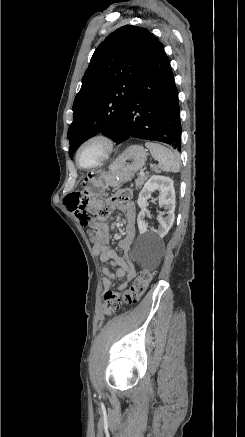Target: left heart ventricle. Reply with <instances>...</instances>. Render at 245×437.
I'll list each match as a JSON object with an SVG mask.
<instances>
[{
    "instance_id": "obj_1",
    "label": "left heart ventricle",
    "mask_w": 245,
    "mask_h": 437,
    "mask_svg": "<svg viewBox=\"0 0 245 437\" xmlns=\"http://www.w3.org/2000/svg\"><path fill=\"white\" fill-rule=\"evenodd\" d=\"M104 148L100 143L94 142L86 145L80 153V163L89 166L96 163L103 155Z\"/></svg>"
}]
</instances>
